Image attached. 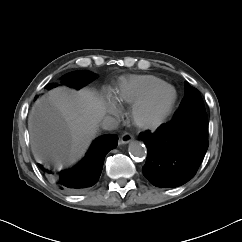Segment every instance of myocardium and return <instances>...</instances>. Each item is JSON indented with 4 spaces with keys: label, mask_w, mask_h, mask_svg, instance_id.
<instances>
[{
    "label": "myocardium",
    "mask_w": 242,
    "mask_h": 242,
    "mask_svg": "<svg viewBox=\"0 0 242 242\" xmlns=\"http://www.w3.org/2000/svg\"><path fill=\"white\" fill-rule=\"evenodd\" d=\"M166 90H170L172 92V99L169 105L163 111L162 115L158 119L151 122L142 120L140 118V112L146 106H148L159 94H161ZM177 100H178V93L174 86L170 84H164L162 86L154 88L153 90L148 92L144 97H142L132 105L131 111H130L131 121L136 127L142 130H156L161 126H163L168 121L176 106Z\"/></svg>",
    "instance_id": "obj_1"
}]
</instances>
